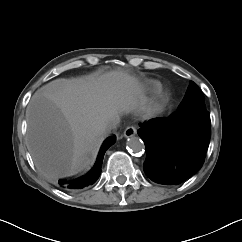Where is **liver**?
Returning a JSON list of instances; mask_svg holds the SVG:
<instances>
[{
	"mask_svg": "<svg viewBox=\"0 0 242 242\" xmlns=\"http://www.w3.org/2000/svg\"><path fill=\"white\" fill-rule=\"evenodd\" d=\"M145 103L138 80L122 71L53 80L36 91L27 107L28 150L47 178L88 170L107 121Z\"/></svg>",
	"mask_w": 242,
	"mask_h": 242,
	"instance_id": "6515ba94",
	"label": "liver"
}]
</instances>
